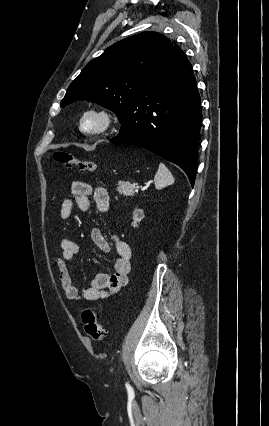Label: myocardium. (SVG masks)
Returning a JSON list of instances; mask_svg holds the SVG:
<instances>
[{
    "label": "myocardium",
    "instance_id": "f54148a6",
    "mask_svg": "<svg viewBox=\"0 0 269 426\" xmlns=\"http://www.w3.org/2000/svg\"><path fill=\"white\" fill-rule=\"evenodd\" d=\"M88 119L96 120V125L91 128L86 127ZM115 121V115L110 110L93 107L82 114L79 120V128L87 135H101L108 132L114 126Z\"/></svg>",
    "mask_w": 269,
    "mask_h": 426
}]
</instances>
